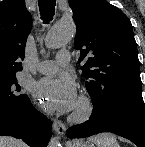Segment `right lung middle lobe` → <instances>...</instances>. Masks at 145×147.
I'll list each match as a JSON object with an SVG mask.
<instances>
[{
	"instance_id": "obj_1",
	"label": "right lung middle lobe",
	"mask_w": 145,
	"mask_h": 147,
	"mask_svg": "<svg viewBox=\"0 0 145 147\" xmlns=\"http://www.w3.org/2000/svg\"><path fill=\"white\" fill-rule=\"evenodd\" d=\"M20 91L15 74L0 77V111L22 108L29 98Z\"/></svg>"
}]
</instances>
